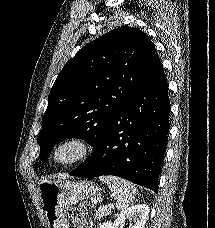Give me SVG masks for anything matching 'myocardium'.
<instances>
[{"label":"myocardium","instance_id":"1","mask_svg":"<svg viewBox=\"0 0 215 228\" xmlns=\"http://www.w3.org/2000/svg\"><path fill=\"white\" fill-rule=\"evenodd\" d=\"M91 151L90 142L81 136H70L57 141L51 148L48 159L55 166H65L85 158Z\"/></svg>","mask_w":215,"mask_h":228}]
</instances>
